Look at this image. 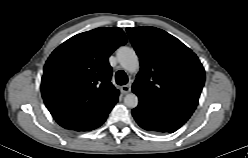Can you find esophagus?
<instances>
[{
  "label": "esophagus",
  "instance_id": "1",
  "mask_svg": "<svg viewBox=\"0 0 248 158\" xmlns=\"http://www.w3.org/2000/svg\"><path fill=\"white\" fill-rule=\"evenodd\" d=\"M121 91L123 94H127L131 91V85L130 84H126L121 86Z\"/></svg>",
  "mask_w": 248,
  "mask_h": 158
}]
</instances>
